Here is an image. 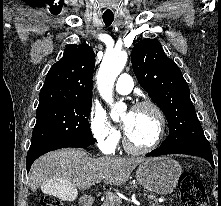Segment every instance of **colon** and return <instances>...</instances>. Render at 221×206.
<instances>
[{
    "instance_id": "1",
    "label": "colon",
    "mask_w": 221,
    "mask_h": 206,
    "mask_svg": "<svg viewBox=\"0 0 221 206\" xmlns=\"http://www.w3.org/2000/svg\"><path fill=\"white\" fill-rule=\"evenodd\" d=\"M181 197L184 206H209V197L202 181L192 172H183L179 178ZM41 206H65L57 198L45 195Z\"/></svg>"
}]
</instances>
